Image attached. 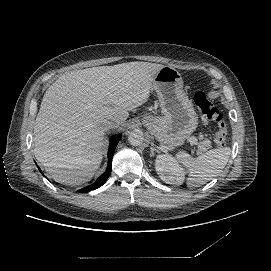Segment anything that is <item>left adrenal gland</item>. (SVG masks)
<instances>
[{"instance_id": "1", "label": "left adrenal gland", "mask_w": 271, "mask_h": 271, "mask_svg": "<svg viewBox=\"0 0 271 271\" xmlns=\"http://www.w3.org/2000/svg\"><path fill=\"white\" fill-rule=\"evenodd\" d=\"M157 152V153H159V150H157L156 148H155V144L153 143V142H151V153H150V157H153L154 156V152Z\"/></svg>"}]
</instances>
